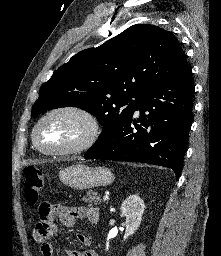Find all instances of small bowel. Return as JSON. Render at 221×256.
Wrapping results in <instances>:
<instances>
[{
    "instance_id": "obj_1",
    "label": "small bowel",
    "mask_w": 221,
    "mask_h": 256,
    "mask_svg": "<svg viewBox=\"0 0 221 256\" xmlns=\"http://www.w3.org/2000/svg\"><path fill=\"white\" fill-rule=\"evenodd\" d=\"M39 219L33 229V237L40 246L42 256H53V248L51 239L58 235V227L55 218H58L64 227H72L77 220L85 219L92 224H96L99 220V211L93 207H69L64 205L43 202L38 210ZM78 241L90 247L91 240L84 233L77 234ZM68 256H99L98 253L91 248L84 251L67 249Z\"/></svg>"
}]
</instances>
